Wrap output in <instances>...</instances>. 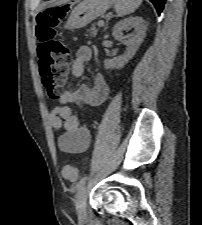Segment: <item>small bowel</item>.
Masks as SVG:
<instances>
[{
  "instance_id": "1",
  "label": "small bowel",
  "mask_w": 202,
  "mask_h": 225,
  "mask_svg": "<svg viewBox=\"0 0 202 225\" xmlns=\"http://www.w3.org/2000/svg\"><path fill=\"white\" fill-rule=\"evenodd\" d=\"M92 57L89 46L78 48L72 66V77H81L84 73L85 63ZM109 94V86L101 74H96L93 85L81 84L76 89H67L60 96L59 104L50 113L52 126L62 130L59 138L61 149L69 154L85 152L90 145L89 130L81 125L78 116L74 113L73 106L102 104Z\"/></svg>"
}]
</instances>
